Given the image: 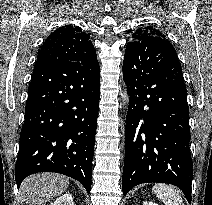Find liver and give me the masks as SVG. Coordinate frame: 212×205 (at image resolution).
Masks as SVG:
<instances>
[{
	"label": "liver",
	"instance_id": "obj_1",
	"mask_svg": "<svg viewBox=\"0 0 212 205\" xmlns=\"http://www.w3.org/2000/svg\"><path fill=\"white\" fill-rule=\"evenodd\" d=\"M69 186V178L54 173H40L27 177L20 186L24 205H45L62 194Z\"/></svg>",
	"mask_w": 212,
	"mask_h": 205
}]
</instances>
